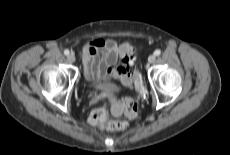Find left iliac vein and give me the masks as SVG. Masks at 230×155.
Masks as SVG:
<instances>
[{"mask_svg": "<svg viewBox=\"0 0 230 155\" xmlns=\"http://www.w3.org/2000/svg\"><path fill=\"white\" fill-rule=\"evenodd\" d=\"M155 60H156V56L155 55H150L149 57H148V61H149V63H154L155 62Z\"/></svg>", "mask_w": 230, "mask_h": 155, "instance_id": "obj_1", "label": "left iliac vein"}]
</instances>
